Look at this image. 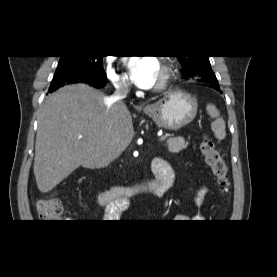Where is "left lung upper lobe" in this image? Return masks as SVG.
<instances>
[{"mask_svg": "<svg viewBox=\"0 0 277 277\" xmlns=\"http://www.w3.org/2000/svg\"><path fill=\"white\" fill-rule=\"evenodd\" d=\"M183 65L182 74L188 78L217 79L208 56H176Z\"/></svg>", "mask_w": 277, "mask_h": 277, "instance_id": "obj_1", "label": "left lung upper lobe"}]
</instances>
